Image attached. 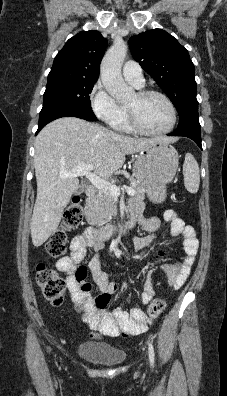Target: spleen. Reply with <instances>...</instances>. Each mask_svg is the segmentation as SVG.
<instances>
[{
    "mask_svg": "<svg viewBox=\"0 0 227 396\" xmlns=\"http://www.w3.org/2000/svg\"><path fill=\"white\" fill-rule=\"evenodd\" d=\"M184 186L190 193H197L200 183L199 166L192 154L185 155L183 164Z\"/></svg>",
    "mask_w": 227,
    "mask_h": 396,
    "instance_id": "1",
    "label": "spleen"
}]
</instances>
